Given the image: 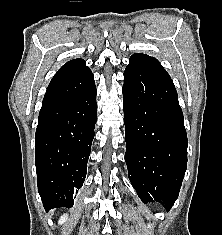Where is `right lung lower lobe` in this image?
<instances>
[{
	"mask_svg": "<svg viewBox=\"0 0 222 235\" xmlns=\"http://www.w3.org/2000/svg\"><path fill=\"white\" fill-rule=\"evenodd\" d=\"M96 120L90 69L51 80L35 134L38 192L47 211L73 206L86 177Z\"/></svg>",
	"mask_w": 222,
	"mask_h": 235,
	"instance_id": "obj_1",
	"label": "right lung lower lobe"
}]
</instances>
